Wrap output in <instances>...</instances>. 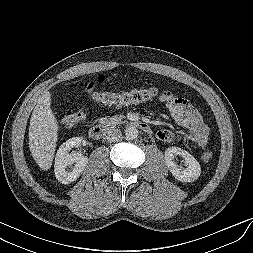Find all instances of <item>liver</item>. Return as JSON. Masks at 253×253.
Masks as SVG:
<instances>
[{
    "label": "liver",
    "instance_id": "1",
    "mask_svg": "<svg viewBox=\"0 0 253 253\" xmlns=\"http://www.w3.org/2000/svg\"><path fill=\"white\" fill-rule=\"evenodd\" d=\"M58 122L51 110V94L44 92L32 112L29 126L31 155L42 170L52 166L58 141Z\"/></svg>",
    "mask_w": 253,
    "mask_h": 253
}]
</instances>
